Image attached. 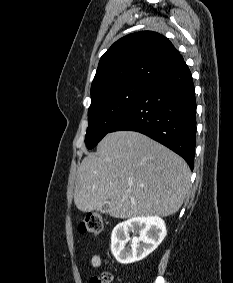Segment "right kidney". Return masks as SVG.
Instances as JSON below:
<instances>
[{
  "label": "right kidney",
  "instance_id": "1",
  "mask_svg": "<svg viewBox=\"0 0 233 283\" xmlns=\"http://www.w3.org/2000/svg\"><path fill=\"white\" fill-rule=\"evenodd\" d=\"M138 237L132 240L131 248L126 247L129 234ZM165 222L157 216L133 217L118 224L111 235V252L121 264H131L152 253L166 236Z\"/></svg>",
  "mask_w": 233,
  "mask_h": 283
}]
</instances>
